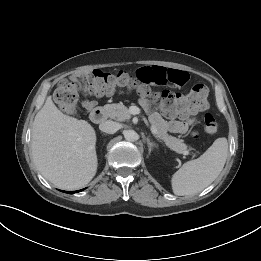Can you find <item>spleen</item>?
Returning a JSON list of instances; mask_svg holds the SVG:
<instances>
[{"instance_id":"3e777b00","label":"spleen","mask_w":261,"mask_h":261,"mask_svg":"<svg viewBox=\"0 0 261 261\" xmlns=\"http://www.w3.org/2000/svg\"><path fill=\"white\" fill-rule=\"evenodd\" d=\"M228 156V141L216 139L197 159L183 164L171 179L175 195H194L209 186L221 173Z\"/></svg>"}]
</instances>
